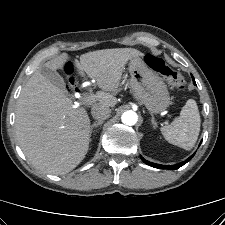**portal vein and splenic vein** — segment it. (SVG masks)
Wrapping results in <instances>:
<instances>
[{
	"mask_svg": "<svg viewBox=\"0 0 225 225\" xmlns=\"http://www.w3.org/2000/svg\"><path fill=\"white\" fill-rule=\"evenodd\" d=\"M93 101H95V97L92 96V95H87V96H85V98H84V102H85V103H92ZM75 108H76V107H75Z\"/></svg>",
	"mask_w": 225,
	"mask_h": 225,
	"instance_id": "portal-vein-and-splenic-vein-1",
	"label": "portal vein and splenic vein"
}]
</instances>
